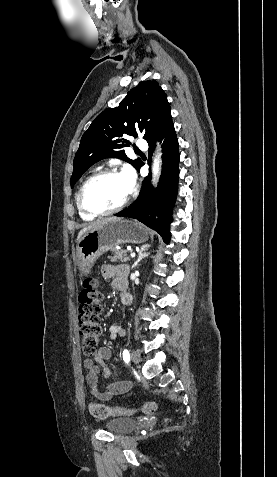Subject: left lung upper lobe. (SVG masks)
Returning <instances> with one entry per match:
<instances>
[{
  "instance_id": "obj_1",
  "label": "left lung upper lobe",
  "mask_w": 277,
  "mask_h": 477,
  "mask_svg": "<svg viewBox=\"0 0 277 477\" xmlns=\"http://www.w3.org/2000/svg\"><path fill=\"white\" fill-rule=\"evenodd\" d=\"M171 119L167 96L159 84L142 81L118 107L100 113L83 134L74 158L71 188L90 166L104 158H119L138 169L141 160L129 159L123 150L130 145L128 137L143 133L149 141Z\"/></svg>"
}]
</instances>
